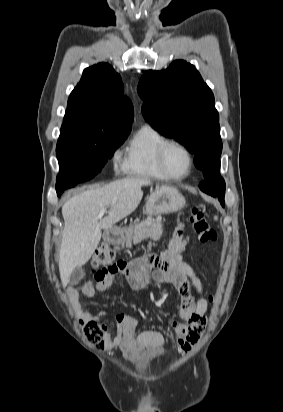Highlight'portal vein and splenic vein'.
Instances as JSON below:
<instances>
[{
	"label": "portal vein and splenic vein",
	"mask_w": 283,
	"mask_h": 412,
	"mask_svg": "<svg viewBox=\"0 0 283 412\" xmlns=\"http://www.w3.org/2000/svg\"><path fill=\"white\" fill-rule=\"evenodd\" d=\"M106 212H107V208L102 209V210L99 212V217L101 218Z\"/></svg>",
	"instance_id": "obj_1"
}]
</instances>
